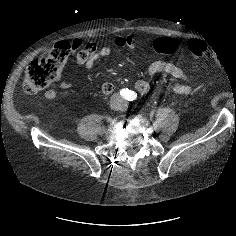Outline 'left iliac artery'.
Masks as SVG:
<instances>
[{
  "mask_svg": "<svg viewBox=\"0 0 236 236\" xmlns=\"http://www.w3.org/2000/svg\"><path fill=\"white\" fill-rule=\"evenodd\" d=\"M137 98V94L134 92V91H130V94H129V101H133Z\"/></svg>",
  "mask_w": 236,
  "mask_h": 236,
  "instance_id": "obj_1",
  "label": "left iliac artery"
}]
</instances>
